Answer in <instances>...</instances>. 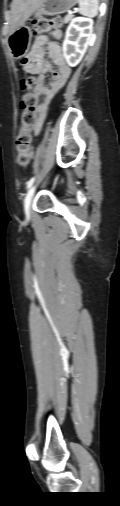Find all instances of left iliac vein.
<instances>
[{
	"label": "left iliac vein",
	"mask_w": 120,
	"mask_h": 506,
	"mask_svg": "<svg viewBox=\"0 0 120 506\" xmlns=\"http://www.w3.org/2000/svg\"><path fill=\"white\" fill-rule=\"evenodd\" d=\"M35 189H36V186L31 187L29 189V191L27 192L25 200H24V210H25V213L27 216L30 215V206H31V201H32V197L34 195Z\"/></svg>",
	"instance_id": "left-iliac-vein-1"
}]
</instances>
